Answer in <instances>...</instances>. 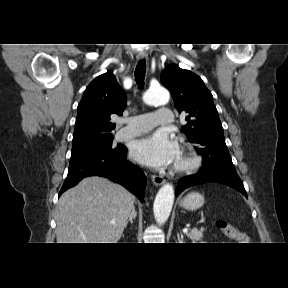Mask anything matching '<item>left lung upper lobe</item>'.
<instances>
[{
  "label": "left lung upper lobe",
  "mask_w": 288,
  "mask_h": 288,
  "mask_svg": "<svg viewBox=\"0 0 288 288\" xmlns=\"http://www.w3.org/2000/svg\"><path fill=\"white\" fill-rule=\"evenodd\" d=\"M161 82L171 92L177 110L189 113L184 132L203 158L201 169L236 173L213 96L202 79L178 65H170L161 73Z\"/></svg>",
  "instance_id": "5c2ea615"
}]
</instances>
